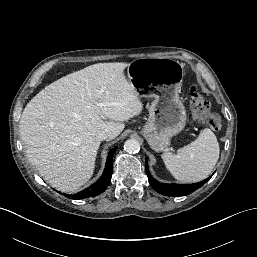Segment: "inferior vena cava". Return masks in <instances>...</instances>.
Returning <instances> with one entry per match:
<instances>
[{
	"instance_id": "obj_1",
	"label": "inferior vena cava",
	"mask_w": 257,
	"mask_h": 257,
	"mask_svg": "<svg viewBox=\"0 0 257 257\" xmlns=\"http://www.w3.org/2000/svg\"><path fill=\"white\" fill-rule=\"evenodd\" d=\"M117 135L114 132H109V131H103L101 133H99L98 138L102 141V140H112L116 137Z\"/></svg>"
}]
</instances>
